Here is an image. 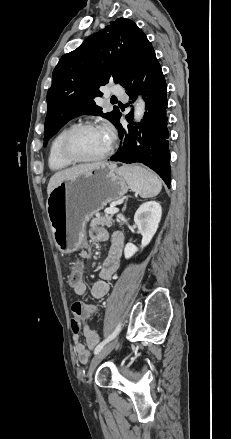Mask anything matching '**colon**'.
Wrapping results in <instances>:
<instances>
[{"label":"colon","mask_w":231,"mask_h":439,"mask_svg":"<svg viewBox=\"0 0 231 439\" xmlns=\"http://www.w3.org/2000/svg\"><path fill=\"white\" fill-rule=\"evenodd\" d=\"M85 276V267L81 264L80 260L75 259L72 262L71 267L68 269V281L72 288V294H75V286L77 283H87L83 277ZM72 331L74 334H79L81 331V324L76 317L71 320Z\"/></svg>","instance_id":"colon-1"}]
</instances>
